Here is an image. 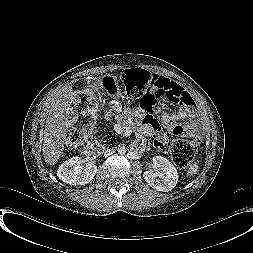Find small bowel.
I'll use <instances>...</instances> for the list:
<instances>
[{"label": "small bowel", "mask_w": 253, "mask_h": 253, "mask_svg": "<svg viewBox=\"0 0 253 253\" xmlns=\"http://www.w3.org/2000/svg\"><path fill=\"white\" fill-rule=\"evenodd\" d=\"M178 85V84H177ZM181 90V97L186 100L185 106L179 107L175 113L162 112L158 119H154L151 115L145 114L141 109L129 110L125 113V116H135L138 119V129L143 135H151L154 139V144L158 148L164 147L167 139L161 130V127H165L169 132L174 135L191 134L192 128L190 125H183L179 122L184 119H190L192 121L197 120V111L192 106V99L190 95L178 85ZM111 117V112L107 113L106 118Z\"/></svg>", "instance_id": "small-bowel-1"}]
</instances>
